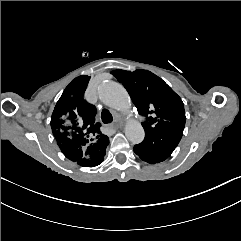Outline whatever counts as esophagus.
<instances>
[{
	"label": "esophagus",
	"mask_w": 241,
	"mask_h": 241,
	"mask_svg": "<svg viewBox=\"0 0 241 241\" xmlns=\"http://www.w3.org/2000/svg\"><path fill=\"white\" fill-rule=\"evenodd\" d=\"M120 127V123L119 122H115L113 125H112V128H119Z\"/></svg>",
	"instance_id": "34e87169"
}]
</instances>
